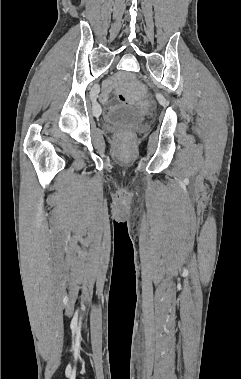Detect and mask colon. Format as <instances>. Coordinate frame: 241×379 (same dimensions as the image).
<instances>
[{
    "instance_id": "obj_1",
    "label": "colon",
    "mask_w": 241,
    "mask_h": 379,
    "mask_svg": "<svg viewBox=\"0 0 241 379\" xmlns=\"http://www.w3.org/2000/svg\"><path fill=\"white\" fill-rule=\"evenodd\" d=\"M119 98L125 104H128L130 102L129 98L126 95H124V94H120ZM150 103H151V98L150 97H142L141 98V103L135 104L134 107L137 110L140 109V107L143 108V109H148L150 107V105H151ZM129 135H130V133L127 132V131H125V132H122L120 134V138L122 140H124V139H127L129 137Z\"/></svg>"
}]
</instances>
